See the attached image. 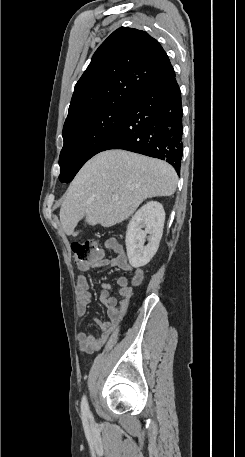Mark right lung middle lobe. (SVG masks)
Here are the masks:
<instances>
[{
  "label": "right lung middle lobe",
  "instance_id": "dd1d6c3e",
  "mask_svg": "<svg viewBox=\"0 0 245 457\" xmlns=\"http://www.w3.org/2000/svg\"><path fill=\"white\" fill-rule=\"evenodd\" d=\"M132 101H114L79 114L63 127L64 145L59 157L61 182H70L79 169L111 139Z\"/></svg>",
  "mask_w": 245,
  "mask_h": 457
}]
</instances>
